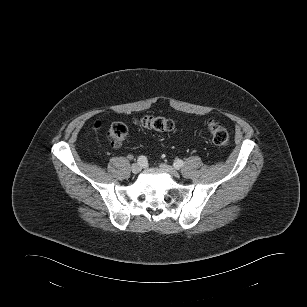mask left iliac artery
<instances>
[{"mask_svg": "<svg viewBox=\"0 0 307 307\" xmlns=\"http://www.w3.org/2000/svg\"><path fill=\"white\" fill-rule=\"evenodd\" d=\"M174 167L175 168H177V169H179L180 167H182L183 165H184V162L182 161V160H176L175 162H174Z\"/></svg>", "mask_w": 307, "mask_h": 307, "instance_id": "1", "label": "left iliac artery"}]
</instances>
